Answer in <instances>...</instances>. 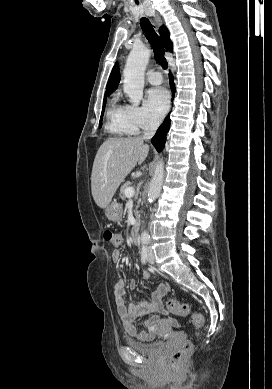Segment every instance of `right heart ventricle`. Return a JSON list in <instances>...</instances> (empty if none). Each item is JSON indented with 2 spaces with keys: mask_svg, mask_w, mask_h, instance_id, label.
<instances>
[{
  "mask_svg": "<svg viewBox=\"0 0 272 389\" xmlns=\"http://www.w3.org/2000/svg\"><path fill=\"white\" fill-rule=\"evenodd\" d=\"M106 127L110 134L116 136L132 135L138 132L132 122L129 106L122 104L118 95L110 101Z\"/></svg>",
  "mask_w": 272,
  "mask_h": 389,
  "instance_id": "obj_1",
  "label": "right heart ventricle"
}]
</instances>
